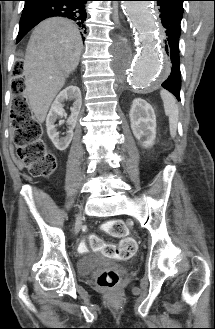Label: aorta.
I'll list each match as a JSON object with an SVG mask.
<instances>
[{
	"instance_id": "1",
	"label": "aorta",
	"mask_w": 215,
	"mask_h": 329,
	"mask_svg": "<svg viewBox=\"0 0 215 329\" xmlns=\"http://www.w3.org/2000/svg\"><path fill=\"white\" fill-rule=\"evenodd\" d=\"M123 11L134 29L138 51L127 68L131 87L146 90L164 77L158 29L153 9L146 1H123Z\"/></svg>"
}]
</instances>
